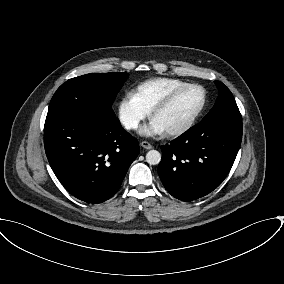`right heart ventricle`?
Segmentation results:
<instances>
[{
  "label": "right heart ventricle",
  "mask_w": 284,
  "mask_h": 284,
  "mask_svg": "<svg viewBox=\"0 0 284 284\" xmlns=\"http://www.w3.org/2000/svg\"><path fill=\"white\" fill-rule=\"evenodd\" d=\"M185 84H187V82L177 78H153L140 83L136 87L134 95L137 100L151 112L168 94Z\"/></svg>",
  "instance_id": "right-heart-ventricle-1"
}]
</instances>
